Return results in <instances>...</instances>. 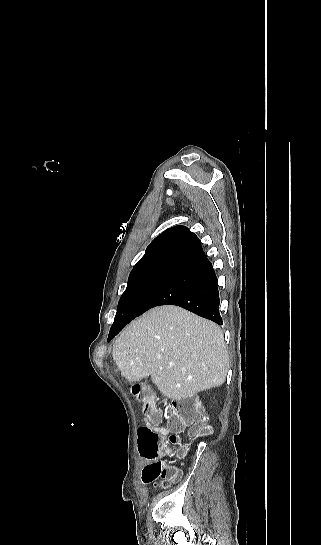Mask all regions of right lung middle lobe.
<instances>
[{"label":"right lung middle lobe","mask_w":321,"mask_h":545,"mask_svg":"<svg viewBox=\"0 0 321 545\" xmlns=\"http://www.w3.org/2000/svg\"><path fill=\"white\" fill-rule=\"evenodd\" d=\"M174 270L166 266L132 270L127 288L119 300L114 322H123L135 316Z\"/></svg>","instance_id":"1"}]
</instances>
